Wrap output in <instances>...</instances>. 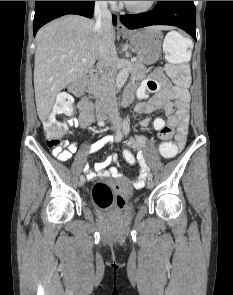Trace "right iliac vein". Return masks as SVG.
<instances>
[{
  "mask_svg": "<svg viewBox=\"0 0 233 295\" xmlns=\"http://www.w3.org/2000/svg\"><path fill=\"white\" fill-rule=\"evenodd\" d=\"M84 183H85V178H84V179H80L78 185H79L80 187H82V186L84 185Z\"/></svg>",
  "mask_w": 233,
  "mask_h": 295,
  "instance_id": "63e3f726",
  "label": "right iliac vein"
}]
</instances>
